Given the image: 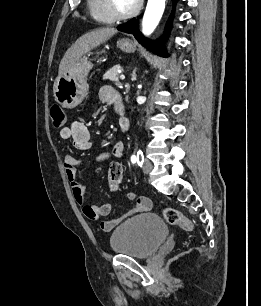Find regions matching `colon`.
Instances as JSON below:
<instances>
[{"label":"colon","mask_w":261,"mask_h":306,"mask_svg":"<svg viewBox=\"0 0 261 306\" xmlns=\"http://www.w3.org/2000/svg\"><path fill=\"white\" fill-rule=\"evenodd\" d=\"M50 116L55 128L61 129L66 124V114L62 107L57 104L51 106ZM123 168L118 162L112 163L108 170V185L112 190H117L122 182ZM164 219L174 226H178L183 230H191L192 222L179 210L167 207L163 210Z\"/></svg>","instance_id":"5ec220e1"}]
</instances>
